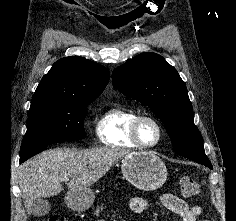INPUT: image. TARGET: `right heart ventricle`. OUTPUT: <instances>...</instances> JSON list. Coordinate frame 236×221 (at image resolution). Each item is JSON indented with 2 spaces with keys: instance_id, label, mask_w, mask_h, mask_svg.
Here are the masks:
<instances>
[{
  "instance_id": "obj_1",
  "label": "right heart ventricle",
  "mask_w": 236,
  "mask_h": 221,
  "mask_svg": "<svg viewBox=\"0 0 236 221\" xmlns=\"http://www.w3.org/2000/svg\"><path fill=\"white\" fill-rule=\"evenodd\" d=\"M139 113L123 105L107 109L96 123V134L102 144L110 148L135 149L130 138V127Z\"/></svg>"
}]
</instances>
